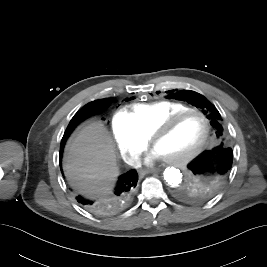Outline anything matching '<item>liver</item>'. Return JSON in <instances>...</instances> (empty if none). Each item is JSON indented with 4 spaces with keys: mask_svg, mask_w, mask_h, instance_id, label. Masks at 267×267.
Here are the masks:
<instances>
[{
    "mask_svg": "<svg viewBox=\"0 0 267 267\" xmlns=\"http://www.w3.org/2000/svg\"><path fill=\"white\" fill-rule=\"evenodd\" d=\"M65 175L87 197L109 193L119 171L114 146L101 122L83 127L67 147Z\"/></svg>",
    "mask_w": 267,
    "mask_h": 267,
    "instance_id": "liver-1",
    "label": "liver"
}]
</instances>
